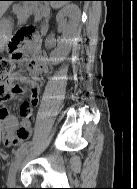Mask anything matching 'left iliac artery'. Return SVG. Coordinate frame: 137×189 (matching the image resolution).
Instances as JSON below:
<instances>
[{"label":"left iliac artery","mask_w":137,"mask_h":189,"mask_svg":"<svg viewBox=\"0 0 137 189\" xmlns=\"http://www.w3.org/2000/svg\"><path fill=\"white\" fill-rule=\"evenodd\" d=\"M30 145H31L30 142L23 144V145L20 147V149H18V151L16 152L15 158H16L20 153H22V152H24L25 150H27V148H28Z\"/></svg>","instance_id":"obj_1"}]
</instances>
